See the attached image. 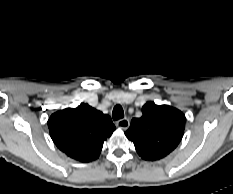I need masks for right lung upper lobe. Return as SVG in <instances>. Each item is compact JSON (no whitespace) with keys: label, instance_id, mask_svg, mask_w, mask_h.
<instances>
[{"label":"right lung upper lobe","instance_id":"obj_1","mask_svg":"<svg viewBox=\"0 0 233 194\" xmlns=\"http://www.w3.org/2000/svg\"><path fill=\"white\" fill-rule=\"evenodd\" d=\"M51 138L69 157L91 162L99 157L103 143L115 126L108 115L80 104L54 113L48 120Z\"/></svg>","mask_w":233,"mask_h":194}]
</instances>
